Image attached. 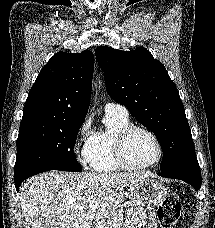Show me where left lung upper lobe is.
I'll use <instances>...</instances> for the list:
<instances>
[{"instance_id":"1","label":"left lung upper lobe","mask_w":215,"mask_h":228,"mask_svg":"<svg viewBox=\"0 0 215 228\" xmlns=\"http://www.w3.org/2000/svg\"><path fill=\"white\" fill-rule=\"evenodd\" d=\"M95 54L110 97L159 139L161 171L196 157L183 103L163 64L143 47L127 52L99 46Z\"/></svg>"}]
</instances>
